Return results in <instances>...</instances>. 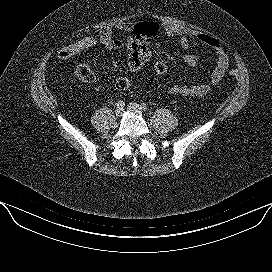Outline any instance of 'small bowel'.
Wrapping results in <instances>:
<instances>
[{"instance_id": "small-bowel-1", "label": "small bowel", "mask_w": 272, "mask_h": 272, "mask_svg": "<svg viewBox=\"0 0 272 272\" xmlns=\"http://www.w3.org/2000/svg\"><path fill=\"white\" fill-rule=\"evenodd\" d=\"M115 28L123 32L125 37L118 39L113 35V27L104 28L100 31V34L108 41L105 48L112 51L124 48L126 50V60L129 69L131 71L139 70L151 57V50L147 42L142 41L134 33L135 26L132 23H119ZM163 29L169 37L178 38L181 48L187 49L192 39L208 46L216 56V65L207 82L197 85L175 83L169 87L168 92L171 95L186 97H202L208 94L224 77L229 64L228 55L220 41L206 33L172 23H164ZM182 59L190 67H196L199 63V56L194 53H184Z\"/></svg>"}]
</instances>
